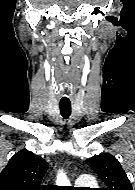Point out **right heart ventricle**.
Returning a JSON list of instances; mask_svg holds the SVG:
<instances>
[{"mask_svg": "<svg viewBox=\"0 0 135 190\" xmlns=\"http://www.w3.org/2000/svg\"><path fill=\"white\" fill-rule=\"evenodd\" d=\"M88 185L94 186V185H96V183L92 181V182H91L90 184H88Z\"/></svg>", "mask_w": 135, "mask_h": 190, "instance_id": "e07e8e85", "label": "right heart ventricle"}]
</instances>
